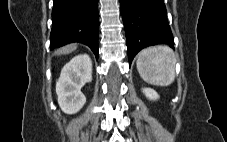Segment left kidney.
<instances>
[{
	"mask_svg": "<svg viewBox=\"0 0 227 142\" xmlns=\"http://www.w3.org/2000/svg\"><path fill=\"white\" fill-rule=\"evenodd\" d=\"M142 91L145 94V96L150 100L159 99L158 93L152 88H143Z\"/></svg>",
	"mask_w": 227,
	"mask_h": 142,
	"instance_id": "1",
	"label": "left kidney"
}]
</instances>
